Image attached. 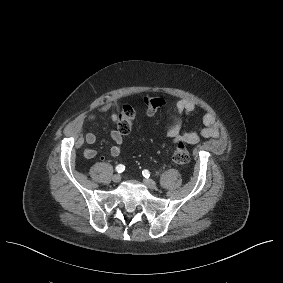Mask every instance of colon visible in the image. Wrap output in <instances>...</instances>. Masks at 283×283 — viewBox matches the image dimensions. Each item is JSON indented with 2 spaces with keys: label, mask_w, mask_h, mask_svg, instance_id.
Returning <instances> with one entry per match:
<instances>
[{
  "label": "colon",
  "mask_w": 283,
  "mask_h": 283,
  "mask_svg": "<svg viewBox=\"0 0 283 283\" xmlns=\"http://www.w3.org/2000/svg\"><path fill=\"white\" fill-rule=\"evenodd\" d=\"M164 100L160 97H146L145 104L147 114L155 115L164 105ZM135 119V111L130 105H125L119 114L117 129L121 135L130 133ZM190 158V153L184 142H178L173 152V162L177 166L185 165Z\"/></svg>",
  "instance_id": "obj_1"
}]
</instances>
